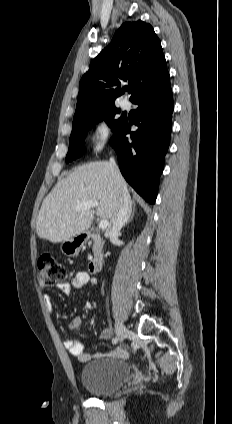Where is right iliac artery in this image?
Here are the masks:
<instances>
[{
    "label": "right iliac artery",
    "mask_w": 232,
    "mask_h": 424,
    "mask_svg": "<svg viewBox=\"0 0 232 424\" xmlns=\"http://www.w3.org/2000/svg\"><path fill=\"white\" fill-rule=\"evenodd\" d=\"M112 343H113V344H116V343H117V338H116V337H115V338H113Z\"/></svg>",
    "instance_id": "right-iliac-artery-1"
}]
</instances>
